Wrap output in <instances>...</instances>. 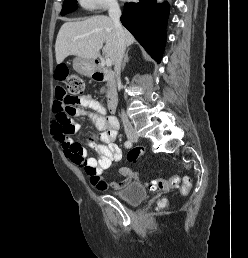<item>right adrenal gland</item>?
<instances>
[{
  "label": "right adrenal gland",
  "instance_id": "obj_1",
  "mask_svg": "<svg viewBox=\"0 0 248 258\" xmlns=\"http://www.w3.org/2000/svg\"><path fill=\"white\" fill-rule=\"evenodd\" d=\"M128 53H129V49L126 51L122 66H121V70L123 71L125 68L126 63L129 61V57H128Z\"/></svg>",
  "mask_w": 248,
  "mask_h": 258
}]
</instances>
